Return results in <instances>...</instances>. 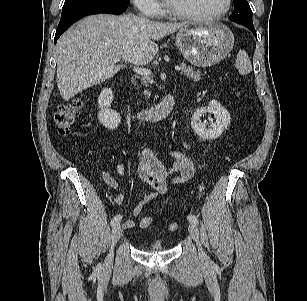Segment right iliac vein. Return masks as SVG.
<instances>
[{
	"mask_svg": "<svg viewBox=\"0 0 307 301\" xmlns=\"http://www.w3.org/2000/svg\"><path fill=\"white\" fill-rule=\"evenodd\" d=\"M122 234V229L120 223H116L113 225L112 232H111V244L112 247L115 245V243L119 240L120 236ZM105 264L107 266H111L113 264V252L112 250L107 255Z\"/></svg>",
	"mask_w": 307,
	"mask_h": 301,
	"instance_id": "obj_1",
	"label": "right iliac vein"
}]
</instances>
